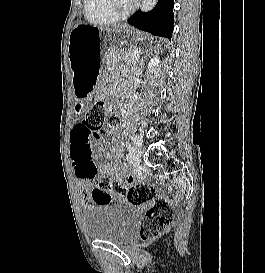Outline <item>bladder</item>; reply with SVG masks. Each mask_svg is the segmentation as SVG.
<instances>
[{"mask_svg":"<svg viewBox=\"0 0 265 273\" xmlns=\"http://www.w3.org/2000/svg\"><path fill=\"white\" fill-rule=\"evenodd\" d=\"M137 223L138 209L124 203L98 206L82 217L87 238L115 244L127 242L134 235Z\"/></svg>","mask_w":265,"mask_h":273,"instance_id":"31cf9c89","label":"bladder"}]
</instances>
